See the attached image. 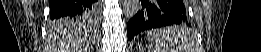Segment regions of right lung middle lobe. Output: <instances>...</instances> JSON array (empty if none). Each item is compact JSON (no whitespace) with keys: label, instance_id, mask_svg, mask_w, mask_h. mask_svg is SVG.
<instances>
[{"label":"right lung middle lobe","instance_id":"dd1d6c3e","mask_svg":"<svg viewBox=\"0 0 261 52\" xmlns=\"http://www.w3.org/2000/svg\"><path fill=\"white\" fill-rule=\"evenodd\" d=\"M52 25H61V26H68L73 25L74 23H89L92 24L96 21V17H89V16H76V17H65V18H58L52 19Z\"/></svg>","mask_w":261,"mask_h":52}]
</instances>
